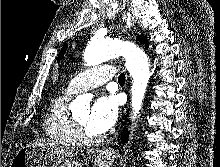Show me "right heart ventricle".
<instances>
[{
  "instance_id": "obj_1",
  "label": "right heart ventricle",
  "mask_w": 220,
  "mask_h": 167,
  "mask_svg": "<svg viewBox=\"0 0 220 167\" xmlns=\"http://www.w3.org/2000/svg\"><path fill=\"white\" fill-rule=\"evenodd\" d=\"M71 91L66 90L55 95L47 108L44 120V132L54 143L73 146L77 142L73 133L72 116L68 107Z\"/></svg>"
}]
</instances>
